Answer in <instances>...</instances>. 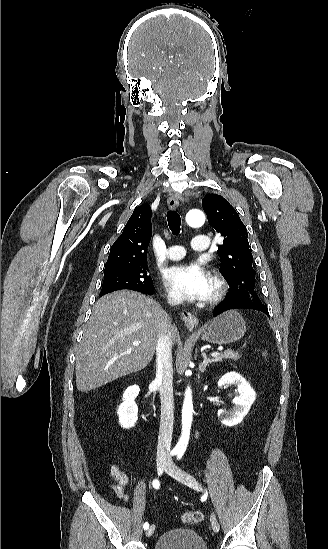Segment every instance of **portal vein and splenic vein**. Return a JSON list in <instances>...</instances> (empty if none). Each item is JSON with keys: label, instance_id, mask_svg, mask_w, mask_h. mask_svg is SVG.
Instances as JSON below:
<instances>
[{"label": "portal vein and splenic vein", "instance_id": "portal-vein-and-splenic-vein-1", "mask_svg": "<svg viewBox=\"0 0 328 549\" xmlns=\"http://www.w3.org/2000/svg\"><path fill=\"white\" fill-rule=\"evenodd\" d=\"M139 343L140 341H134V347H138ZM218 355H220V353H212V357H218Z\"/></svg>", "mask_w": 328, "mask_h": 549}]
</instances>
